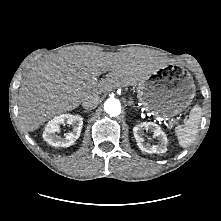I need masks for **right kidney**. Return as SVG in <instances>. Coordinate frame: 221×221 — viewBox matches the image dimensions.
<instances>
[{
    "instance_id": "obj_1",
    "label": "right kidney",
    "mask_w": 221,
    "mask_h": 221,
    "mask_svg": "<svg viewBox=\"0 0 221 221\" xmlns=\"http://www.w3.org/2000/svg\"><path fill=\"white\" fill-rule=\"evenodd\" d=\"M65 123L71 125L73 129L70 133L65 134L64 137L61 138L57 133L60 131V125ZM82 126L83 118L81 116L61 114L54 117L46 124L43 138L52 146L69 147L79 138Z\"/></svg>"
}]
</instances>
